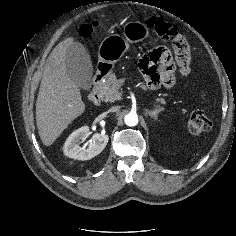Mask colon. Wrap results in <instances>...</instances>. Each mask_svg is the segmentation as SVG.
<instances>
[{"instance_id": "5ec220e1", "label": "colon", "mask_w": 236, "mask_h": 236, "mask_svg": "<svg viewBox=\"0 0 236 236\" xmlns=\"http://www.w3.org/2000/svg\"><path fill=\"white\" fill-rule=\"evenodd\" d=\"M147 26L159 39L172 42L173 49L177 56L186 57L189 53V45L186 38L181 35L175 27L162 18L152 16L148 19ZM84 37H89L92 29L88 26L82 27L80 31ZM211 121L202 110L194 111L188 121L191 133L198 134L211 128Z\"/></svg>"}]
</instances>
